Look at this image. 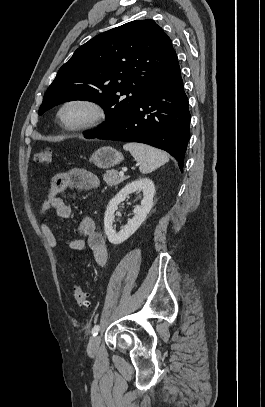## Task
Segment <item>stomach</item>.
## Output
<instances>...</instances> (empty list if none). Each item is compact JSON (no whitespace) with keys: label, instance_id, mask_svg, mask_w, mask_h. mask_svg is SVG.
Returning <instances> with one entry per match:
<instances>
[{"label":"stomach","instance_id":"0dacf381","mask_svg":"<svg viewBox=\"0 0 265 407\" xmlns=\"http://www.w3.org/2000/svg\"><path fill=\"white\" fill-rule=\"evenodd\" d=\"M122 153L112 147H101L90 157L95 166L103 169L111 168L123 161Z\"/></svg>","mask_w":265,"mask_h":407}]
</instances>
